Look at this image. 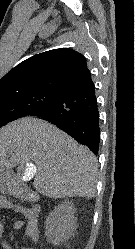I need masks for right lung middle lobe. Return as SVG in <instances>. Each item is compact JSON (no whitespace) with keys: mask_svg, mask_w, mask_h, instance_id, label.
<instances>
[{"mask_svg":"<svg viewBox=\"0 0 135 249\" xmlns=\"http://www.w3.org/2000/svg\"><path fill=\"white\" fill-rule=\"evenodd\" d=\"M60 94L55 91H30L0 96V127L19 117L29 115L35 109L56 99Z\"/></svg>","mask_w":135,"mask_h":249,"instance_id":"obj_1","label":"right lung middle lobe"}]
</instances>
